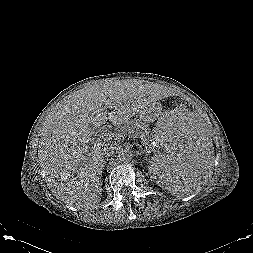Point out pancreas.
<instances>
[{
    "label": "pancreas",
    "mask_w": 253,
    "mask_h": 253,
    "mask_svg": "<svg viewBox=\"0 0 253 253\" xmlns=\"http://www.w3.org/2000/svg\"><path fill=\"white\" fill-rule=\"evenodd\" d=\"M115 133L119 134V137H115L116 140H120L129 134L130 136H138L142 138V143L145 145L151 141L150 129L146 122L142 120H132L125 126H121L115 130Z\"/></svg>",
    "instance_id": "pancreas-1"
}]
</instances>
